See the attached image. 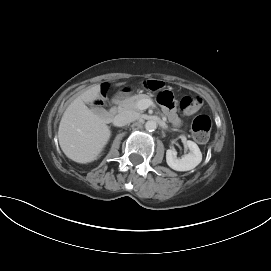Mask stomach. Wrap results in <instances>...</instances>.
Instances as JSON below:
<instances>
[{"label":"stomach","instance_id":"0dacf381","mask_svg":"<svg viewBox=\"0 0 271 271\" xmlns=\"http://www.w3.org/2000/svg\"><path fill=\"white\" fill-rule=\"evenodd\" d=\"M131 93H132L131 88L123 87L117 92V94L115 96V100H120V99L124 98L125 96H128Z\"/></svg>","mask_w":271,"mask_h":271}]
</instances>
